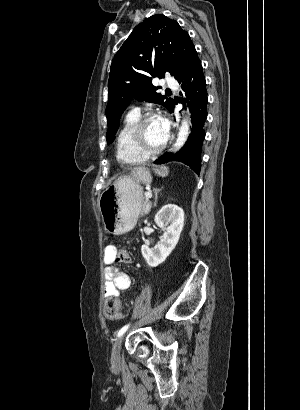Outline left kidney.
Returning a JSON list of instances; mask_svg holds the SVG:
<instances>
[{
  "label": "left kidney",
  "instance_id": "5707ae66",
  "mask_svg": "<svg viewBox=\"0 0 300 410\" xmlns=\"http://www.w3.org/2000/svg\"><path fill=\"white\" fill-rule=\"evenodd\" d=\"M154 221L164 234L153 248L141 247L142 256L150 267L164 262L177 245L184 227V211L175 204H167L157 212Z\"/></svg>",
  "mask_w": 300,
  "mask_h": 410
}]
</instances>
